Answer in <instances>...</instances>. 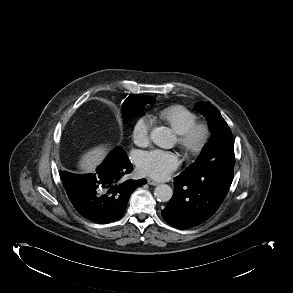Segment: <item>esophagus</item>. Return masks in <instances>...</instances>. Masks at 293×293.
Returning a JSON list of instances; mask_svg holds the SVG:
<instances>
[{"mask_svg": "<svg viewBox=\"0 0 293 293\" xmlns=\"http://www.w3.org/2000/svg\"><path fill=\"white\" fill-rule=\"evenodd\" d=\"M147 182H148L149 185H153V186L159 185L158 181H155V180H152V179H148Z\"/></svg>", "mask_w": 293, "mask_h": 293, "instance_id": "1", "label": "esophagus"}]
</instances>
